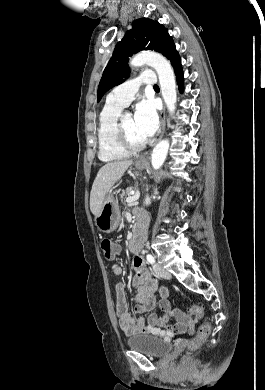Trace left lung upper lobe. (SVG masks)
Wrapping results in <instances>:
<instances>
[{
	"instance_id": "left-lung-upper-lobe-1",
	"label": "left lung upper lobe",
	"mask_w": 265,
	"mask_h": 390,
	"mask_svg": "<svg viewBox=\"0 0 265 390\" xmlns=\"http://www.w3.org/2000/svg\"><path fill=\"white\" fill-rule=\"evenodd\" d=\"M142 50L157 51L171 62L178 54L173 39L162 24L148 18L135 20L132 29L127 31L115 46L113 55L104 69L98 86V102L106 91L125 81L124 78L130 73L129 57Z\"/></svg>"
}]
</instances>
